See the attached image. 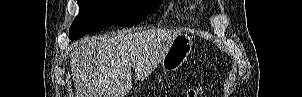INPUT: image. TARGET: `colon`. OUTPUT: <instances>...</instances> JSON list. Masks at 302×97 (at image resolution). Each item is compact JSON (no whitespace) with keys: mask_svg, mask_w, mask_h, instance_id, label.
Masks as SVG:
<instances>
[{"mask_svg":"<svg viewBox=\"0 0 302 97\" xmlns=\"http://www.w3.org/2000/svg\"><path fill=\"white\" fill-rule=\"evenodd\" d=\"M202 95V90L200 88L191 89L187 92L186 97H200Z\"/></svg>","mask_w":302,"mask_h":97,"instance_id":"5ec220e1","label":"colon"}]
</instances>
